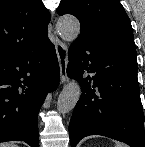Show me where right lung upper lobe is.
<instances>
[{
	"label": "right lung upper lobe",
	"instance_id": "right-lung-upper-lobe-1",
	"mask_svg": "<svg viewBox=\"0 0 145 147\" xmlns=\"http://www.w3.org/2000/svg\"><path fill=\"white\" fill-rule=\"evenodd\" d=\"M49 21L41 0H0V62L46 40Z\"/></svg>",
	"mask_w": 145,
	"mask_h": 147
}]
</instances>
